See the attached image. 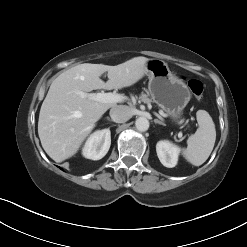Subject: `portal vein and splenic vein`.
<instances>
[{
  "instance_id": "18ae733b",
  "label": "portal vein and splenic vein",
  "mask_w": 247,
  "mask_h": 247,
  "mask_svg": "<svg viewBox=\"0 0 247 247\" xmlns=\"http://www.w3.org/2000/svg\"><path fill=\"white\" fill-rule=\"evenodd\" d=\"M82 97H88L91 100H95L97 102L101 103H118L122 102L124 97L120 94L116 93H84V92H78ZM180 137H182V134L180 133Z\"/></svg>"
}]
</instances>
